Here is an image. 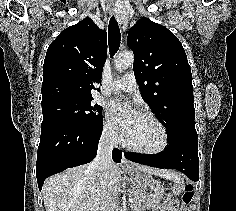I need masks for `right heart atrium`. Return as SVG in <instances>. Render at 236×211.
Instances as JSON below:
<instances>
[{"label": "right heart atrium", "mask_w": 236, "mask_h": 211, "mask_svg": "<svg viewBox=\"0 0 236 211\" xmlns=\"http://www.w3.org/2000/svg\"><path fill=\"white\" fill-rule=\"evenodd\" d=\"M102 137L105 141L111 144H117L121 140V135L113 123V121L106 117L102 124Z\"/></svg>", "instance_id": "d8ad5b80"}]
</instances>
